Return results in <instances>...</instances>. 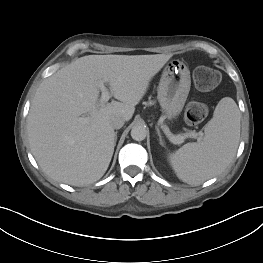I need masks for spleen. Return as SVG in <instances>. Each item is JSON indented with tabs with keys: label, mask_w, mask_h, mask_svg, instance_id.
<instances>
[{
	"label": "spleen",
	"mask_w": 263,
	"mask_h": 263,
	"mask_svg": "<svg viewBox=\"0 0 263 263\" xmlns=\"http://www.w3.org/2000/svg\"><path fill=\"white\" fill-rule=\"evenodd\" d=\"M240 138V112L230 97L217 104L201 142L187 143L168 159L177 177L197 185L222 172L233 159Z\"/></svg>",
	"instance_id": "1"
}]
</instances>
